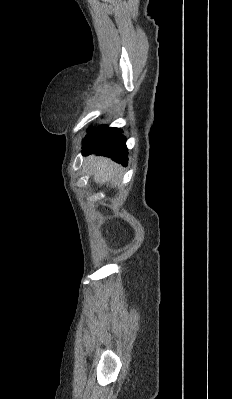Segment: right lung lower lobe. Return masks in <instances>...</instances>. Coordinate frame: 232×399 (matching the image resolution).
Wrapping results in <instances>:
<instances>
[{
	"mask_svg": "<svg viewBox=\"0 0 232 399\" xmlns=\"http://www.w3.org/2000/svg\"><path fill=\"white\" fill-rule=\"evenodd\" d=\"M83 141L82 153L84 155L97 154L112 158L114 161L125 165L128 161L126 139L121 129L100 126L89 131Z\"/></svg>",
	"mask_w": 232,
	"mask_h": 399,
	"instance_id": "98d812e1",
	"label": "right lung lower lobe"
}]
</instances>
